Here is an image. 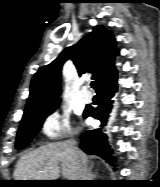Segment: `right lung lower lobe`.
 <instances>
[{
	"label": "right lung lower lobe",
	"mask_w": 160,
	"mask_h": 187,
	"mask_svg": "<svg viewBox=\"0 0 160 187\" xmlns=\"http://www.w3.org/2000/svg\"><path fill=\"white\" fill-rule=\"evenodd\" d=\"M117 73L112 77L104 80L100 83L96 89V93L99 97V107L94 109L91 106H87L84 110V118L93 116L101 121V127L94 130H87L81 134L80 148L87 154L98 155L105 159L108 163L112 164L114 157L113 151L110 149V145L107 144V135L104 130L109 117V113L112 108L111 98L117 91ZM79 186L89 187L87 184H81Z\"/></svg>",
	"instance_id": "obj_1"
}]
</instances>
